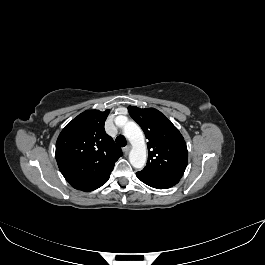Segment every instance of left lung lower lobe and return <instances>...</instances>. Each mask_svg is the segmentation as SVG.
<instances>
[{
	"instance_id": "left-lung-lower-lobe-1",
	"label": "left lung lower lobe",
	"mask_w": 265,
	"mask_h": 265,
	"mask_svg": "<svg viewBox=\"0 0 265 265\" xmlns=\"http://www.w3.org/2000/svg\"><path fill=\"white\" fill-rule=\"evenodd\" d=\"M136 175L143 183L157 189L170 188L177 184L180 180L178 178L149 175L141 171L137 172Z\"/></svg>"
}]
</instances>
